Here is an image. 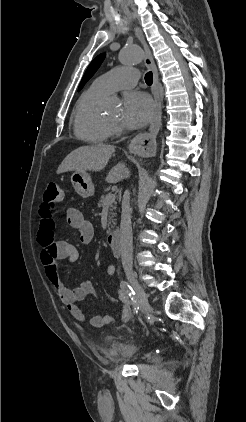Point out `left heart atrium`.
Here are the masks:
<instances>
[{
	"label": "left heart atrium",
	"instance_id": "39dd6f15",
	"mask_svg": "<svg viewBox=\"0 0 246 422\" xmlns=\"http://www.w3.org/2000/svg\"><path fill=\"white\" fill-rule=\"evenodd\" d=\"M154 107L150 97L142 92H129L123 100L121 122L130 129L145 126L153 116Z\"/></svg>",
	"mask_w": 246,
	"mask_h": 422
}]
</instances>
